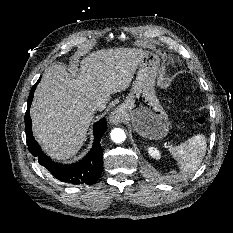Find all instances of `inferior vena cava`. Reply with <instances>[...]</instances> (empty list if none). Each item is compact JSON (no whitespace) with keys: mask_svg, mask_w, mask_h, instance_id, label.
<instances>
[{"mask_svg":"<svg viewBox=\"0 0 233 233\" xmlns=\"http://www.w3.org/2000/svg\"><path fill=\"white\" fill-rule=\"evenodd\" d=\"M99 112V107H93V113H98Z\"/></svg>","mask_w":233,"mask_h":233,"instance_id":"602c4592","label":"inferior vena cava"}]
</instances>
